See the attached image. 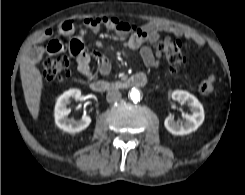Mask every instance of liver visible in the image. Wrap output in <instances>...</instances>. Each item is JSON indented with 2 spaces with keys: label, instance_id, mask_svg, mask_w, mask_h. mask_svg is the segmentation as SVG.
<instances>
[{
  "label": "liver",
  "instance_id": "obj_1",
  "mask_svg": "<svg viewBox=\"0 0 245 195\" xmlns=\"http://www.w3.org/2000/svg\"><path fill=\"white\" fill-rule=\"evenodd\" d=\"M20 75L27 108L36 120L39 115L43 88L42 75L28 57H24L21 61Z\"/></svg>",
  "mask_w": 245,
  "mask_h": 195
}]
</instances>
